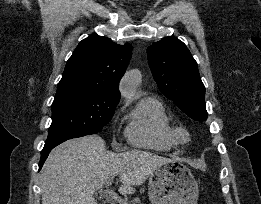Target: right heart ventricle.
Returning <instances> with one entry per match:
<instances>
[{
    "instance_id": "e07e8e85",
    "label": "right heart ventricle",
    "mask_w": 261,
    "mask_h": 204,
    "mask_svg": "<svg viewBox=\"0 0 261 204\" xmlns=\"http://www.w3.org/2000/svg\"><path fill=\"white\" fill-rule=\"evenodd\" d=\"M125 136L134 147L156 151L171 150L178 143L165 105L154 97L142 99L127 116Z\"/></svg>"
}]
</instances>
